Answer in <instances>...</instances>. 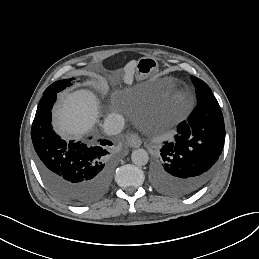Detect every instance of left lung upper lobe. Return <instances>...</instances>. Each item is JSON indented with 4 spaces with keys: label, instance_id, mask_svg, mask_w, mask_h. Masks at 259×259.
<instances>
[{
    "label": "left lung upper lobe",
    "instance_id": "obj_1",
    "mask_svg": "<svg viewBox=\"0 0 259 259\" xmlns=\"http://www.w3.org/2000/svg\"><path fill=\"white\" fill-rule=\"evenodd\" d=\"M192 82L196 87V93L201 91H211L210 87L202 80L198 79L195 76H191Z\"/></svg>",
    "mask_w": 259,
    "mask_h": 259
}]
</instances>
